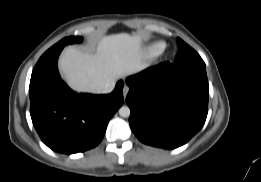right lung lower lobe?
Wrapping results in <instances>:
<instances>
[{
	"label": "right lung lower lobe",
	"mask_w": 261,
	"mask_h": 182,
	"mask_svg": "<svg viewBox=\"0 0 261 182\" xmlns=\"http://www.w3.org/2000/svg\"><path fill=\"white\" fill-rule=\"evenodd\" d=\"M62 46L50 48L35 65L29 86L30 114L41 140L65 154L97 146L110 118L123 104V82L107 95L77 94L61 80Z\"/></svg>",
	"instance_id": "98d812e1"
}]
</instances>
